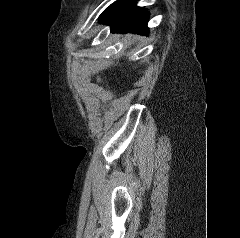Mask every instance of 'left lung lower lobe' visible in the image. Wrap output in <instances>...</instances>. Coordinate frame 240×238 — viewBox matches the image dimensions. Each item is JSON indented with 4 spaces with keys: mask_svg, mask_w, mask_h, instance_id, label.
I'll return each mask as SVG.
<instances>
[{
    "mask_svg": "<svg viewBox=\"0 0 240 238\" xmlns=\"http://www.w3.org/2000/svg\"><path fill=\"white\" fill-rule=\"evenodd\" d=\"M136 1L118 0L100 15L99 20L110 25L113 33L146 34L149 31L147 27L149 14L144 8L137 7Z\"/></svg>",
    "mask_w": 240,
    "mask_h": 238,
    "instance_id": "left-lung-lower-lobe-1",
    "label": "left lung lower lobe"
}]
</instances>
